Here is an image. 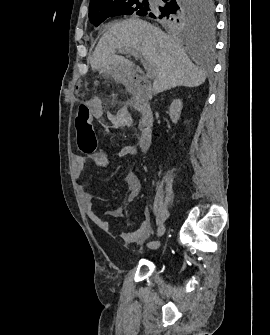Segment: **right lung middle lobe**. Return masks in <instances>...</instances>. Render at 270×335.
<instances>
[{"label": "right lung middle lobe", "instance_id": "1", "mask_svg": "<svg viewBox=\"0 0 270 335\" xmlns=\"http://www.w3.org/2000/svg\"><path fill=\"white\" fill-rule=\"evenodd\" d=\"M164 6H156L148 0H113L101 6L89 8V20L98 26L105 19L117 15L137 14L149 16L160 25L171 29H184L198 24L208 28L214 25L213 0H163Z\"/></svg>", "mask_w": 270, "mask_h": 335}]
</instances>
